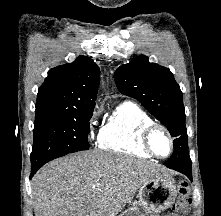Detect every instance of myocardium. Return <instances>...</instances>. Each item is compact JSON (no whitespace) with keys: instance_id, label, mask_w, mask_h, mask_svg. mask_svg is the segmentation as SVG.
I'll return each mask as SVG.
<instances>
[{"instance_id":"myocardium-1","label":"myocardium","mask_w":221,"mask_h":216,"mask_svg":"<svg viewBox=\"0 0 221 216\" xmlns=\"http://www.w3.org/2000/svg\"><path fill=\"white\" fill-rule=\"evenodd\" d=\"M156 132H162L168 138L170 150L166 155H160L156 152L152 144V137ZM140 145L150 155L157 158H167L174 151V139L170 131L162 124L153 122L152 124L144 127L140 133Z\"/></svg>"}]
</instances>
